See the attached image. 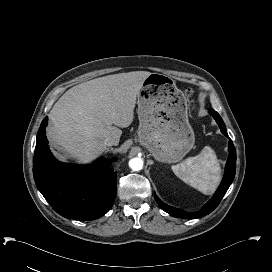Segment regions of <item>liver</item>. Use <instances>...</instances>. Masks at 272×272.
<instances>
[{
  "label": "liver",
  "mask_w": 272,
  "mask_h": 272,
  "mask_svg": "<svg viewBox=\"0 0 272 272\" xmlns=\"http://www.w3.org/2000/svg\"><path fill=\"white\" fill-rule=\"evenodd\" d=\"M151 73L133 71L99 77L66 91L50 111L47 136L60 158L88 163L101 155L105 139L119 142L134 119L137 95Z\"/></svg>",
  "instance_id": "1"
}]
</instances>
